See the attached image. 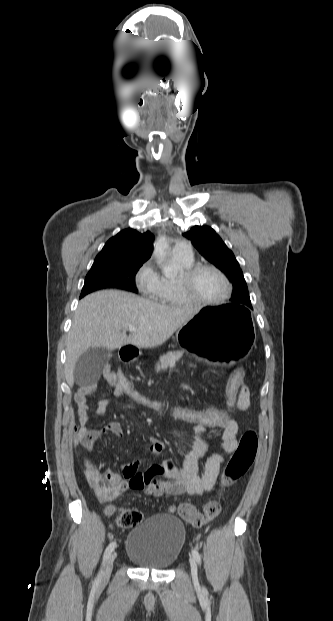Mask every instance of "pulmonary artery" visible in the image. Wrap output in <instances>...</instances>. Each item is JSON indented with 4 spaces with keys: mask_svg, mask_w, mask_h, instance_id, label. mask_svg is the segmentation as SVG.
Here are the masks:
<instances>
[{
    "mask_svg": "<svg viewBox=\"0 0 333 621\" xmlns=\"http://www.w3.org/2000/svg\"><path fill=\"white\" fill-rule=\"evenodd\" d=\"M172 254L184 259H193L192 248L186 241L177 242L172 248Z\"/></svg>",
    "mask_w": 333,
    "mask_h": 621,
    "instance_id": "1",
    "label": "pulmonary artery"
}]
</instances>
